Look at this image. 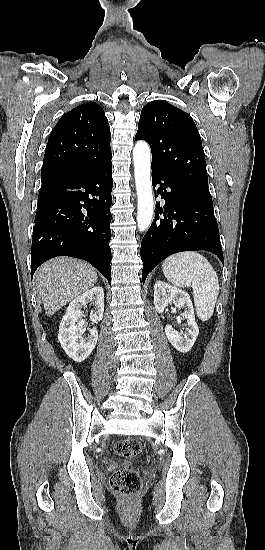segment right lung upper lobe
<instances>
[{
  "instance_id": "cb5924a9",
  "label": "right lung upper lobe",
  "mask_w": 265,
  "mask_h": 550,
  "mask_svg": "<svg viewBox=\"0 0 265 550\" xmlns=\"http://www.w3.org/2000/svg\"><path fill=\"white\" fill-rule=\"evenodd\" d=\"M110 140L108 120L98 104H82L65 113L48 139L42 183L61 174L106 163L111 159Z\"/></svg>"
}]
</instances>
